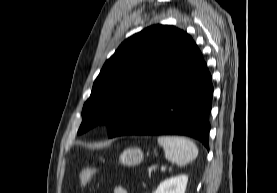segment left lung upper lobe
<instances>
[{"label": "left lung upper lobe", "mask_w": 277, "mask_h": 193, "mask_svg": "<svg viewBox=\"0 0 277 193\" xmlns=\"http://www.w3.org/2000/svg\"><path fill=\"white\" fill-rule=\"evenodd\" d=\"M195 48L186 32L167 25L150 26L125 40L96 78L78 134L106 123L110 137Z\"/></svg>", "instance_id": "left-lung-upper-lobe-1"}]
</instances>
